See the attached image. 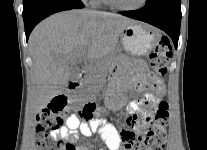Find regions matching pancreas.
Returning <instances> with one entry per match:
<instances>
[{
    "mask_svg": "<svg viewBox=\"0 0 207 150\" xmlns=\"http://www.w3.org/2000/svg\"><path fill=\"white\" fill-rule=\"evenodd\" d=\"M107 73V61H99L96 62L94 67L91 70L92 76L86 79L83 82V89L87 93H92L97 85H101L103 83V77Z\"/></svg>",
    "mask_w": 207,
    "mask_h": 150,
    "instance_id": "pancreas-1",
    "label": "pancreas"
}]
</instances>
